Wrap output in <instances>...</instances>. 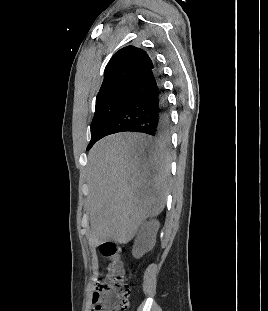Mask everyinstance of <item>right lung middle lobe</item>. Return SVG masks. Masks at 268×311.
Wrapping results in <instances>:
<instances>
[{"label":"right lung middle lobe","instance_id":"1","mask_svg":"<svg viewBox=\"0 0 268 311\" xmlns=\"http://www.w3.org/2000/svg\"><path fill=\"white\" fill-rule=\"evenodd\" d=\"M135 88L136 84L124 85L96 99L95 114L91 123V141L87 150L102 138L105 129L128 103Z\"/></svg>","mask_w":268,"mask_h":311}]
</instances>
